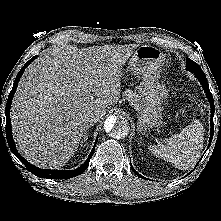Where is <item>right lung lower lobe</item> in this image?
Here are the masks:
<instances>
[{
	"label": "right lung lower lobe",
	"instance_id": "98d812e1",
	"mask_svg": "<svg viewBox=\"0 0 221 221\" xmlns=\"http://www.w3.org/2000/svg\"><path fill=\"white\" fill-rule=\"evenodd\" d=\"M36 58V56H34L33 58H31L27 63H25V65L22 67V69L20 70V72L17 74L16 79L14 81L13 84V88L9 94L8 100H7V104H6V108H5V115H6V138H7V142L9 145L10 150L13 152V154H15V156L25 165V167L34 175L38 176V177H43V178H48V179H68V178H72L75 176L80 175L81 173H83L86 168L89 165V161L93 156L94 150H95V146L97 144V140L94 144V147L91 151V154L89 155L88 159L85 161V163L75 169V170H70V171H63V170H51V169H40L37 168L33 165H31L29 162H27L16 150L14 141H13V137H12V131H11V121H10V107H11V101H12V97L13 94L16 91L18 82L25 70V68Z\"/></svg>",
	"mask_w": 221,
	"mask_h": 221
}]
</instances>
